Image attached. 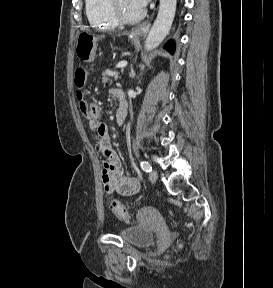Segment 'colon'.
I'll use <instances>...</instances> for the list:
<instances>
[{"mask_svg":"<svg viewBox=\"0 0 273 288\" xmlns=\"http://www.w3.org/2000/svg\"><path fill=\"white\" fill-rule=\"evenodd\" d=\"M93 50L94 47L92 37L87 34L80 35L77 44V55L79 58L85 61H90L93 58ZM85 80V71L81 68L78 69L75 75V83L77 87L82 88L85 84ZM77 98L79 102V108L83 116L90 121L97 120L99 117L98 106L82 91L78 92ZM109 208L119 220L124 222H129L131 220L129 212L117 199H111L109 201Z\"/></svg>","mask_w":273,"mask_h":288,"instance_id":"5ec220e1","label":"colon"}]
</instances>
